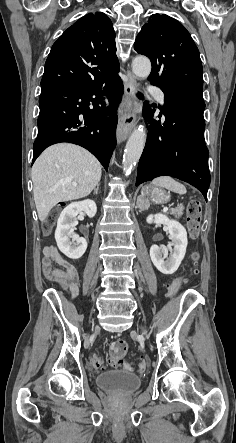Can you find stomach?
<instances>
[{
  "instance_id": "obj_1",
  "label": "stomach",
  "mask_w": 236,
  "mask_h": 443,
  "mask_svg": "<svg viewBox=\"0 0 236 443\" xmlns=\"http://www.w3.org/2000/svg\"><path fill=\"white\" fill-rule=\"evenodd\" d=\"M142 195L156 204H164L169 200V195L163 189L156 186L143 187Z\"/></svg>"
}]
</instances>
